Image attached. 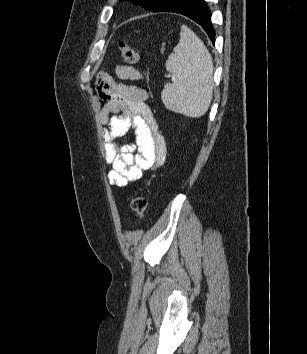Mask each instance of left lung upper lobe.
I'll use <instances>...</instances> for the list:
<instances>
[{"label": "left lung upper lobe", "instance_id": "left-lung-upper-lobe-1", "mask_svg": "<svg viewBox=\"0 0 307 354\" xmlns=\"http://www.w3.org/2000/svg\"><path fill=\"white\" fill-rule=\"evenodd\" d=\"M128 1L134 4H139L145 9L156 12L159 9H161L163 6H165L169 0H128Z\"/></svg>", "mask_w": 307, "mask_h": 354}]
</instances>
